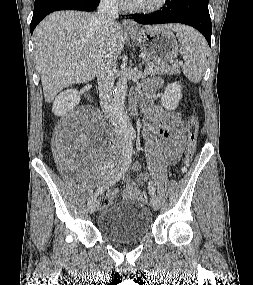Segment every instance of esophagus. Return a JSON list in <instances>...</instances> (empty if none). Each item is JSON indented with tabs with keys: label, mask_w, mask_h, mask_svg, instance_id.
I'll use <instances>...</instances> for the list:
<instances>
[{
	"label": "esophagus",
	"mask_w": 253,
	"mask_h": 285,
	"mask_svg": "<svg viewBox=\"0 0 253 285\" xmlns=\"http://www.w3.org/2000/svg\"><path fill=\"white\" fill-rule=\"evenodd\" d=\"M123 27L125 30H137L138 26L131 19H124Z\"/></svg>",
	"instance_id": "obj_1"
}]
</instances>
